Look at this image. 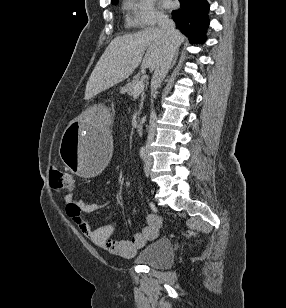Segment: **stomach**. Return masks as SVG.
<instances>
[{"label": "stomach", "instance_id": "0dacf381", "mask_svg": "<svg viewBox=\"0 0 286 308\" xmlns=\"http://www.w3.org/2000/svg\"><path fill=\"white\" fill-rule=\"evenodd\" d=\"M90 108L65 122L66 130H62L61 142H57L62 164L78 174L102 173L112 159L111 133H117L114 103L102 97L101 103H91Z\"/></svg>", "mask_w": 286, "mask_h": 308}]
</instances>
